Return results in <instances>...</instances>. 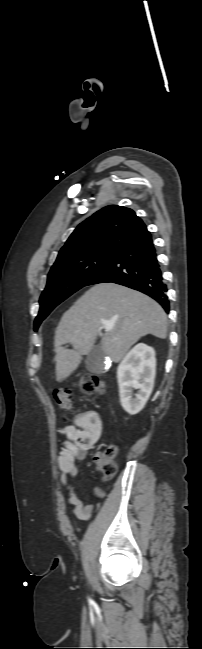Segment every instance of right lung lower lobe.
<instances>
[{
	"instance_id": "obj_1",
	"label": "right lung lower lobe",
	"mask_w": 202,
	"mask_h": 649,
	"mask_svg": "<svg viewBox=\"0 0 202 649\" xmlns=\"http://www.w3.org/2000/svg\"><path fill=\"white\" fill-rule=\"evenodd\" d=\"M113 282L155 299L167 313L169 300L150 233L119 251L85 284Z\"/></svg>"
}]
</instances>
